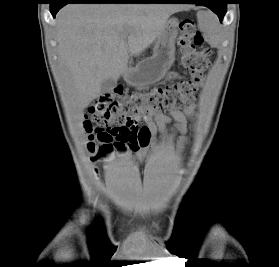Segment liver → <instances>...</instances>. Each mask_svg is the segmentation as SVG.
Wrapping results in <instances>:
<instances>
[{"mask_svg": "<svg viewBox=\"0 0 279 267\" xmlns=\"http://www.w3.org/2000/svg\"><path fill=\"white\" fill-rule=\"evenodd\" d=\"M182 6L170 4H70L56 18L59 57L73 80L76 105L86 108L103 80L116 81L130 56L147 49L168 18Z\"/></svg>", "mask_w": 279, "mask_h": 267, "instance_id": "liver-1", "label": "liver"}]
</instances>
